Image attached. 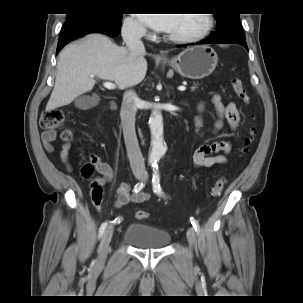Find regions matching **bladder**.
<instances>
[{
  "instance_id": "31cf9c89",
  "label": "bladder",
  "mask_w": 303,
  "mask_h": 303,
  "mask_svg": "<svg viewBox=\"0 0 303 303\" xmlns=\"http://www.w3.org/2000/svg\"><path fill=\"white\" fill-rule=\"evenodd\" d=\"M124 240L138 248L159 249L170 242V235L150 225L131 223L126 228Z\"/></svg>"
}]
</instances>
